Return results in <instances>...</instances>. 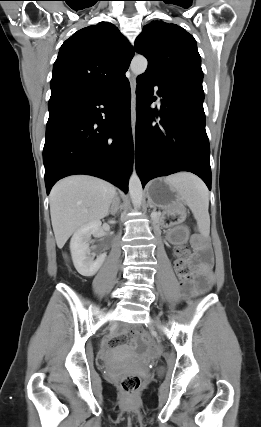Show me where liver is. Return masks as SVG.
<instances>
[{
    "label": "liver",
    "instance_id": "6515ba94",
    "mask_svg": "<svg viewBox=\"0 0 261 427\" xmlns=\"http://www.w3.org/2000/svg\"><path fill=\"white\" fill-rule=\"evenodd\" d=\"M116 195L109 182L86 175L59 181L50 192V214L58 248L80 227L104 218Z\"/></svg>",
    "mask_w": 261,
    "mask_h": 427
}]
</instances>
